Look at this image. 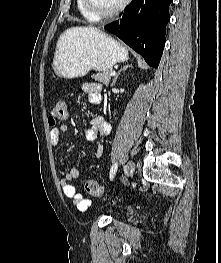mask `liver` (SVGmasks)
<instances>
[{
	"mask_svg": "<svg viewBox=\"0 0 221 263\" xmlns=\"http://www.w3.org/2000/svg\"><path fill=\"white\" fill-rule=\"evenodd\" d=\"M83 29H85V30H91V31L98 30V29H96V28H94V27H83Z\"/></svg>",
	"mask_w": 221,
	"mask_h": 263,
	"instance_id": "1",
	"label": "liver"
}]
</instances>
